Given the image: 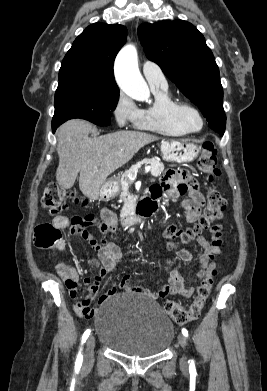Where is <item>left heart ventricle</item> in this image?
I'll return each mask as SVG.
<instances>
[{"mask_svg":"<svg viewBox=\"0 0 267 391\" xmlns=\"http://www.w3.org/2000/svg\"><path fill=\"white\" fill-rule=\"evenodd\" d=\"M186 121L192 128H198L200 126L199 118L196 114L191 111L186 112L185 114Z\"/></svg>","mask_w":267,"mask_h":391,"instance_id":"left-heart-ventricle-1","label":"left heart ventricle"}]
</instances>
